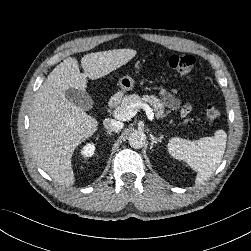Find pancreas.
<instances>
[{
    "label": "pancreas",
    "mask_w": 251,
    "mask_h": 251,
    "mask_svg": "<svg viewBox=\"0 0 251 251\" xmlns=\"http://www.w3.org/2000/svg\"><path fill=\"white\" fill-rule=\"evenodd\" d=\"M133 103H148L152 106V110L156 112L158 118L165 117L164 105L162 101L155 95H143L142 97L136 94L126 95L123 97L121 104L116 109L124 110Z\"/></svg>",
    "instance_id": "1"
}]
</instances>
